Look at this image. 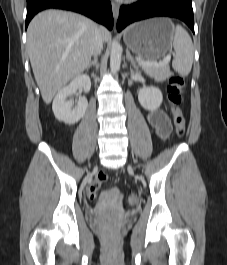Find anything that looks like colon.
Wrapping results in <instances>:
<instances>
[{"mask_svg":"<svg viewBox=\"0 0 227 265\" xmlns=\"http://www.w3.org/2000/svg\"><path fill=\"white\" fill-rule=\"evenodd\" d=\"M185 86V79L183 76L175 75L170 77L168 81V101L170 106V111L173 118V123L175 127V133L177 136L182 137L186 132V122L181 110L182 93ZM108 179L107 175L100 172L95 180L89 185L88 195L91 199H96L100 188L104 182ZM139 203V197L136 194H131L127 198V206H135Z\"/></svg>","mask_w":227,"mask_h":265,"instance_id":"1","label":"colon"}]
</instances>
